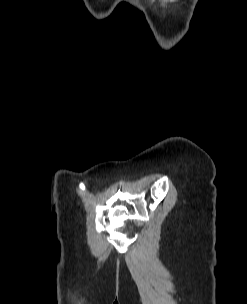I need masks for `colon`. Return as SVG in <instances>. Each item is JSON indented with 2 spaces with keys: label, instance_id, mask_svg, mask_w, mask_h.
<instances>
[{
  "label": "colon",
  "instance_id": "colon-1",
  "mask_svg": "<svg viewBox=\"0 0 247 304\" xmlns=\"http://www.w3.org/2000/svg\"><path fill=\"white\" fill-rule=\"evenodd\" d=\"M118 225H121V222H118Z\"/></svg>",
  "mask_w": 247,
  "mask_h": 304
}]
</instances>
